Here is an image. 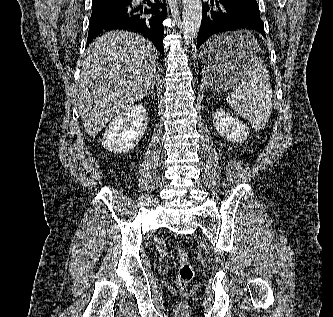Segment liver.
Wrapping results in <instances>:
<instances>
[{
    "instance_id": "1",
    "label": "liver",
    "mask_w": 333,
    "mask_h": 317,
    "mask_svg": "<svg viewBox=\"0 0 333 317\" xmlns=\"http://www.w3.org/2000/svg\"><path fill=\"white\" fill-rule=\"evenodd\" d=\"M157 52L144 37L111 31L87 48L76 106L87 134L95 137L116 114L148 95Z\"/></svg>"
}]
</instances>
